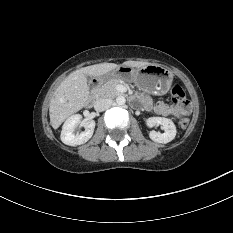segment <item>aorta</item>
<instances>
[{"label":"aorta","mask_w":233,"mask_h":233,"mask_svg":"<svg viewBox=\"0 0 233 233\" xmlns=\"http://www.w3.org/2000/svg\"><path fill=\"white\" fill-rule=\"evenodd\" d=\"M125 102H126V99H125L124 96H118V97L116 98V103H117L118 105H124Z\"/></svg>","instance_id":"aorta-1"}]
</instances>
